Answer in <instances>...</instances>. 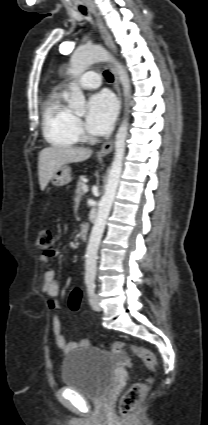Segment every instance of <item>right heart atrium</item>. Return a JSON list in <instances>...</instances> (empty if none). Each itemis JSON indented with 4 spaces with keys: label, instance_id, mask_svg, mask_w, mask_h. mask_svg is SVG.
<instances>
[{
    "label": "right heart atrium",
    "instance_id": "obj_1",
    "mask_svg": "<svg viewBox=\"0 0 208 425\" xmlns=\"http://www.w3.org/2000/svg\"><path fill=\"white\" fill-rule=\"evenodd\" d=\"M80 126H81V124H80L79 120H75V127H76L77 130L80 129Z\"/></svg>",
    "mask_w": 208,
    "mask_h": 425
}]
</instances>
